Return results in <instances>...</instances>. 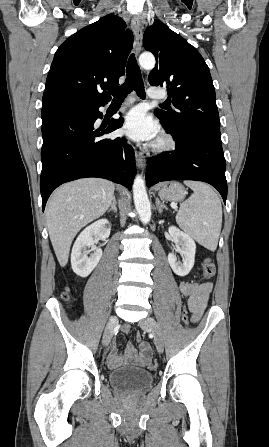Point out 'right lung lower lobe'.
Returning <instances> with one entry per match:
<instances>
[{
  "instance_id": "98d812e1",
  "label": "right lung lower lobe",
  "mask_w": 269,
  "mask_h": 447,
  "mask_svg": "<svg viewBox=\"0 0 269 447\" xmlns=\"http://www.w3.org/2000/svg\"><path fill=\"white\" fill-rule=\"evenodd\" d=\"M109 100L87 99L42 109L40 189L42 209L62 183L85 177H101L131 190L136 173L134 150L125 138L102 139L123 124L110 122L104 130H94L99 111Z\"/></svg>"
}]
</instances>
